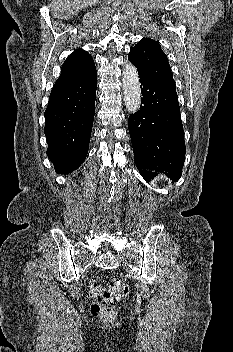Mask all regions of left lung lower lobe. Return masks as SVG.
I'll return each instance as SVG.
<instances>
[{
    "label": "left lung lower lobe",
    "instance_id": "obj_1",
    "mask_svg": "<svg viewBox=\"0 0 233 352\" xmlns=\"http://www.w3.org/2000/svg\"><path fill=\"white\" fill-rule=\"evenodd\" d=\"M142 102L128 120L135 163L149 180L164 172L179 180L185 160L184 131L176 89L138 71Z\"/></svg>",
    "mask_w": 233,
    "mask_h": 352
}]
</instances>
